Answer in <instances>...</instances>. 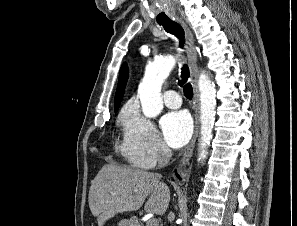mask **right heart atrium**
I'll use <instances>...</instances> for the list:
<instances>
[{"label": "right heart atrium", "mask_w": 297, "mask_h": 226, "mask_svg": "<svg viewBox=\"0 0 297 226\" xmlns=\"http://www.w3.org/2000/svg\"><path fill=\"white\" fill-rule=\"evenodd\" d=\"M123 139L120 153L138 168L153 169L171 155L154 123L133 106L122 117Z\"/></svg>", "instance_id": "obj_1"}]
</instances>
